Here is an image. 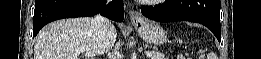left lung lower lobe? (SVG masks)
Instances as JSON below:
<instances>
[{
	"label": "left lung lower lobe",
	"instance_id": "0a47b994",
	"mask_svg": "<svg viewBox=\"0 0 261 59\" xmlns=\"http://www.w3.org/2000/svg\"><path fill=\"white\" fill-rule=\"evenodd\" d=\"M141 12L159 22L183 20L203 24L221 40L220 0H167L160 6H142Z\"/></svg>",
	"mask_w": 261,
	"mask_h": 59
}]
</instances>
